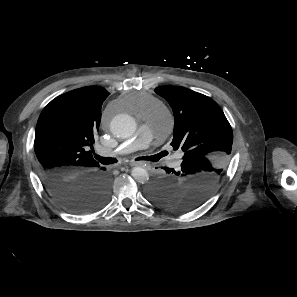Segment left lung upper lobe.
<instances>
[{
  "instance_id": "1",
  "label": "left lung upper lobe",
  "mask_w": 297,
  "mask_h": 297,
  "mask_svg": "<svg viewBox=\"0 0 297 297\" xmlns=\"http://www.w3.org/2000/svg\"><path fill=\"white\" fill-rule=\"evenodd\" d=\"M171 106L175 117L174 150L184 152L180 174L166 183L152 184L148 197L175 211L192 210L204 203L221 182L229 161L233 132L219 105L211 98L179 86L154 90Z\"/></svg>"
}]
</instances>
